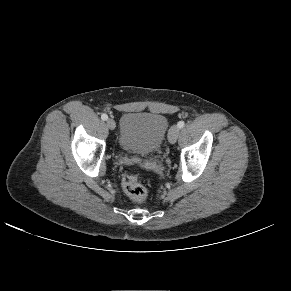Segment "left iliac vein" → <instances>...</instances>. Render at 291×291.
<instances>
[{
    "instance_id": "obj_1",
    "label": "left iliac vein",
    "mask_w": 291,
    "mask_h": 291,
    "mask_svg": "<svg viewBox=\"0 0 291 291\" xmlns=\"http://www.w3.org/2000/svg\"><path fill=\"white\" fill-rule=\"evenodd\" d=\"M179 136V127L176 125H173L168 134V140L171 144H174L177 141V138Z\"/></svg>"
}]
</instances>
